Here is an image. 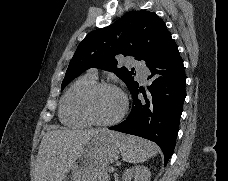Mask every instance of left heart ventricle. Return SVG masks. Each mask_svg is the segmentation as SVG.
Wrapping results in <instances>:
<instances>
[{
    "mask_svg": "<svg viewBox=\"0 0 228 181\" xmlns=\"http://www.w3.org/2000/svg\"><path fill=\"white\" fill-rule=\"evenodd\" d=\"M123 100L119 92L113 88L98 90L91 103L94 116L101 120L115 117L122 109Z\"/></svg>",
    "mask_w": 228,
    "mask_h": 181,
    "instance_id": "left-heart-ventricle-1",
    "label": "left heart ventricle"
}]
</instances>
